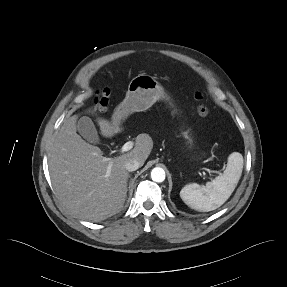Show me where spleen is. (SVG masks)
<instances>
[{
  "label": "spleen",
  "mask_w": 287,
  "mask_h": 287,
  "mask_svg": "<svg viewBox=\"0 0 287 287\" xmlns=\"http://www.w3.org/2000/svg\"><path fill=\"white\" fill-rule=\"evenodd\" d=\"M243 169V156L233 152L222 175L207 182L206 186L188 184L180 191L183 202L191 209L209 212L223 205L235 190Z\"/></svg>",
  "instance_id": "obj_1"
}]
</instances>
